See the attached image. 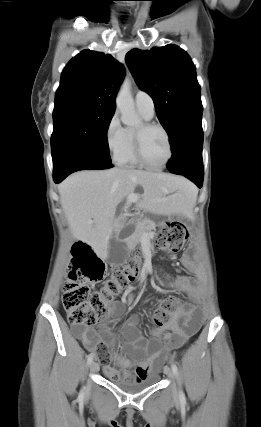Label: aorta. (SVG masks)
Returning a JSON list of instances; mask_svg holds the SVG:
<instances>
[{
	"label": "aorta",
	"mask_w": 261,
	"mask_h": 427,
	"mask_svg": "<svg viewBox=\"0 0 261 427\" xmlns=\"http://www.w3.org/2000/svg\"><path fill=\"white\" fill-rule=\"evenodd\" d=\"M116 106L121 113V121L127 126H138L140 118L135 112L134 100L131 94V81L126 78L117 94Z\"/></svg>",
	"instance_id": "1"
}]
</instances>
